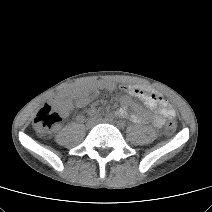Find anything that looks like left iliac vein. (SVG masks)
<instances>
[{
	"mask_svg": "<svg viewBox=\"0 0 212 212\" xmlns=\"http://www.w3.org/2000/svg\"><path fill=\"white\" fill-rule=\"evenodd\" d=\"M101 121L104 122V123L114 124V122L112 120H110V119H103Z\"/></svg>",
	"mask_w": 212,
	"mask_h": 212,
	"instance_id": "obj_1",
	"label": "left iliac vein"
}]
</instances>
